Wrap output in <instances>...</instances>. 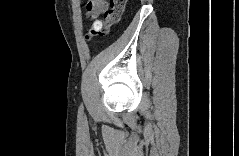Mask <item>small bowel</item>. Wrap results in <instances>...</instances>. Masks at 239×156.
<instances>
[{
  "instance_id": "small-bowel-1",
  "label": "small bowel",
  "mask_w": 239,
  "mask_h": 156,
  "mask_svg": "<svg viewBox=\"0 0 239 156\" xmlns=\"http://www.w3.org/2000/svg\"><path fill=\"white\" fill-rule=\"evenodd\" d=\"M108 8L107 0H90L85 4V14L89 19H96Z\"/></svg>"
}]
</instances>
